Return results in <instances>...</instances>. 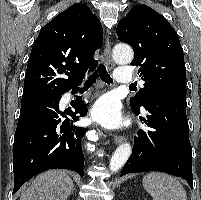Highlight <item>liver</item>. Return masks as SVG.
<instances>
[{
	"label": "liver",
	"instance_id": "1",
	"mask_svg": "<svg viewBox=\"0 0 201 200\" xmlns=\"http://www.w3.org/2000/svg\"><path fill=\"white\" fill-rule=\"evenodd\" d=\"M73 189V181L67 172L49 170L38 175L20 200H67Z\"/></svg>",
	"mask_w": 201,
	"mask_h": 200
}]
</instances>
